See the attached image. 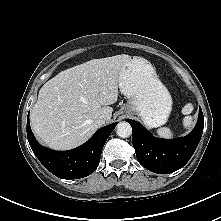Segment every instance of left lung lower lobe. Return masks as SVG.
Wrapping results in <instances>:
<instances>
[{
  "mask_svg": "<svg viewBox=\"0 0 221 221\" xmlns=\"http://www.w3.org/2000/svg\"><path fill=\"white\" fill-rule=\"evenodd\" d=\"M126 121L132 126V143L139 163L158 174L172 173L185 166L199 144L204 126L201 108L192 132L176 139L156 138L140 123L131 119Z\"/></svg>",
  "mask_w": 221,
  "mask_h": 221,
  "instance_id": "obj_1",
  "label": "left lung lower lobe"
}]
</instances>
